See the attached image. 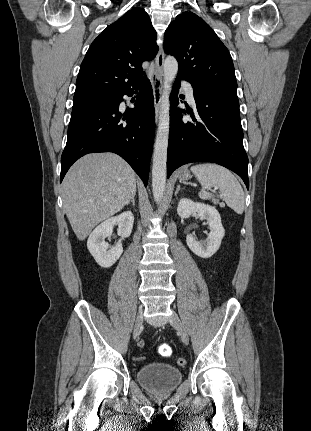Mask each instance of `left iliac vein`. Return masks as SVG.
Wrapping results in <instances>:
<instances>
[{
  "label": "left iliac vein",
  "mask_w": 311,
  "mask_h": 431,
  "mask_svg": "<svg viewBox=\"0 0 311 431\" xmlns=\"http://www.w3.org/2000/svg\"><path fill=\"white\" fill-rule=\"evenodd\" d=\"M169 322L179 332V335H180L182 341L185 344H188L189 343V336H188L187 330L175 312L172 313V315L169 319Z\"/></svg>",
  "instance_id": "left-iliac-vein-1"
}]
</instances>
